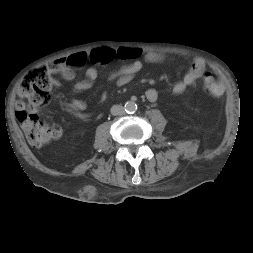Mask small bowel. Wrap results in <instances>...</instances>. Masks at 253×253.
<instances>
[{
  "instance_id": "c3829d8e",
  "label": "small bowel",
  "mask_w": 253,
  "mask_h": 253,
  "mask_svg": "<svg viewBox=\"0 0 253 253\" xmlns=\"http://www.w3.org/2000/svg\"><path fill=\"white\" fill-rule=\"evenodd\" d=\"M63 60L67 64L66 69L61 73L64 80L73 81L76 76V71L79 69H83L85 74L84 79L74 84L71 101L63 106V110L80 119H88V115L84 113L87 109V104L78 95L93 87L98 77L97 68L99 66L106 65L114 60L128 61L126 65L111 73L107 78L108 82L114 83L117 86H123L131 82L142 69V60L147 62H162L165 60V56L155 52L143 53L138 48L122 47L113 49L99 47L89 52L72 54ZM205 74V61L200 57H195L183 77L173 84L171 92L173 94L183 93L187 87L194 84ZM145 96L148 101L155 102L158 99V92L155 89H148Z\"/></svg>"
}]
</instances>
